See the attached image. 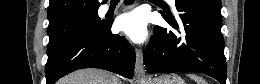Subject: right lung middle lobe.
<instances>
[{
    "label": "right lung middle lobe",
    "mask_w": 260,
    "mask_h": 84,
    "mask_svg": "<svg viewBox=\"0 0 260 84\" xmlns=\"http://www.w3.org/2000/svg\"><path fill=\"white\" fill-rule=\"evenodd\" d=\"M106 26L107 24L100 20L97 12H94L48 28L50 38L47 47L48 59L75 39L100 35L105 31Z\"/></svg>",
    "instance_id": "dd1d6c3e"
}]
</instances>
